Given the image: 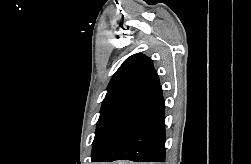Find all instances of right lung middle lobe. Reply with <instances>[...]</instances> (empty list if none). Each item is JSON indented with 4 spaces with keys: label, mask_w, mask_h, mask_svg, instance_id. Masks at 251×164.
Here are the masks:
<instances>
[{
    "label": "right lung middle lobe",
    "mask_w": 251,
    "mask_h": 164,
    "mask_svg": "<svg viewBox=\"0 0 251 164\" xmlns=\"http://www.w3.org/2000/svg\"><path fill=\"white\" fill-rule=\"evenodd\" d=\"M142 91L135 89H122L107 93L100 110L95 138L92 144V154L101 144L109 129L117 118L137 99Z\"/></svg>",
    "instance_id": "dd1d6c3e"
}]
</instances>
